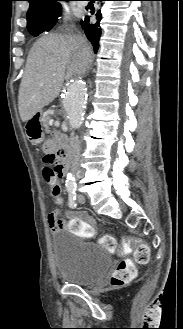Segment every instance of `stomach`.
<instances>
[{"label":"stomach","mask_w":183,"mask_h":329,"mask_svg":"<svg viewBox=\"0 0 183 329\" xmlns=\"http://www.w3.org/2000/svg\"><path fill=\"white\" fill-rule=\"evenodd\" d=\"M37 115H39L40 119L42 118V112L41 111H39L37 113ZM29 137L32 138V136H29ZM43 139H44V135H43V133H41L40 137H38L36 139H31L30 141L34 144H38V143H41L43 141Z\"/></svg>","instance_id":"stomach-1"}]
</instances>
